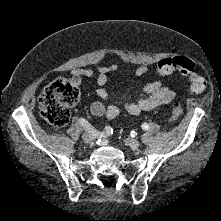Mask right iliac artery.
Here are the masks:
<instances>
[{
  "label": "right iliac artery",
  "instance_id": "82829eb1",
  "mask_svg": "<svg viewBox=\"0 0 221 221\" xmlns=\"http://www.w3.org/2000/svg\"><path fill=\"white\" fill-rule=\"evenodd\" d=\"M80 123L85 129V131L89 132L90 134H93V136L98 138H105L110 136V133L112 130H114V125H105L102 131L95 130L85 119L81 118Z\"/></svg>",
  "mask_w": 221,
  "mask_h": 221
}]
</instances>
